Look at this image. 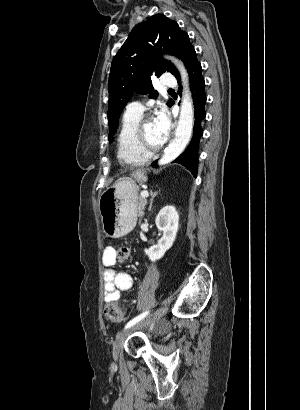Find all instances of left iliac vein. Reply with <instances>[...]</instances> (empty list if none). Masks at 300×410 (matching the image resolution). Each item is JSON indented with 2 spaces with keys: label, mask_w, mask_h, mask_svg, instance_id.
<instances>
[{
  "label": "left iliac vein",
  "mask_w": 300,
  "mask_h": 410,
  "mask_svg": "<svg viewBox=\"0 0 300 410\" xmlns=\"http://www.w3.org/2000/svg\"><path fill=\"white\" fill-rule=\"evenodd\" d=\"M167 311H168V307L164 306V307L160 308L159 310H157L153 315L149 316L148 318H146L144 320H141V321L137 322L136 324H134L133 326H131V327L123 330L122 332H120L117 335V337H116V339L113 343V358H114V360H118L121 347L124 344L127 337L131 333H133L134 331H137L138 329H141V328L145 327L146 325H148L149 323L159 319Z\"/></svg>",
  "instance_id": "left-iliac-vein-1"
}]
</instances>
